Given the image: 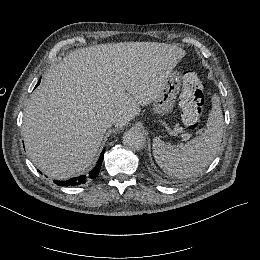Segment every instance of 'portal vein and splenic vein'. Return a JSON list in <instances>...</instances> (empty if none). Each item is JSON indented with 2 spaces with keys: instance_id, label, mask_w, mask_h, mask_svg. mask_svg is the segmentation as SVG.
I'll return each instance as SVG.
<instances>
[{
  "instance_id": "1",
  "label": "portal vein and splenic vein",
  "mask_w": 260,
  "mask_h": 260,
  "mask_svg": "<svg viewBox=\"0 0 260 260\" xmlns=\"http://www.w3.org/2000/svg\"><path fill=\"white\" fill-rule=\"evenodd\" d=\"M183 132V128L182 127H179V128H175L174 130V133H182ZM181 137H182V141H187L190 139L191 135L189 133H184V134H181Z\"/></svg>"
}]
</instances>
